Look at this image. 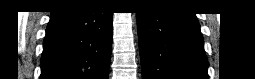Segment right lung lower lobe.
Segmentation results:
<instances>
[{"label": "right lung lower lobe", "mask_w": 255, "mask_h": 79, "mask_svg": "<svg viewBox=\"0 0 255 79\" xmlns=\"http://www.w3.org/2000/svg\"><path fill=\"white\" fill-rule=\"evenodd\" d=\"M111 47L112 12L60 7L46 29L40 79H107Z\"/></svg>", "instance_id": "1"}]
</instances>
